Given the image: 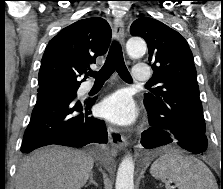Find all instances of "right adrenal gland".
Wrapping results in <instances>:
<instances>
[{"label":"right adrenal gland","mask_w":223,"mask_h":189,"mask_svg":"<svg viewBox=\"0 0 223 189\" xmlns=\"http://www.w3.org/2000/svg\"><path fill=\"white\" fill-rule=\"evenodd\" d=\"M91 184H94L96 187H98V184L93 179V172H91V174H90V180H89L88 184L85 185V187H87V186H89Z\"/></svg>","instance_id":"2a0ac1e0"}]
</instances>
